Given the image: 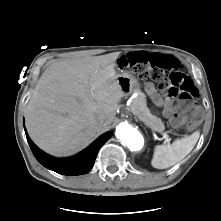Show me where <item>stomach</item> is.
<instances>
[{"mask_svg": "<svg viewBox=\"0 0 221 221\" xmlns=\"http://www.w3.org/2000/svg\"><path fill=\"white\" fill-rule=\"evenodd\" d=\"M117 82L125 94L140 88L138 80L132 74L123 70L117 74Z\"/></svg>", "mask_w": 221, "mask_h": 221, "instance_id": "0dacf381", "label": "stomach"}]
</instances>
